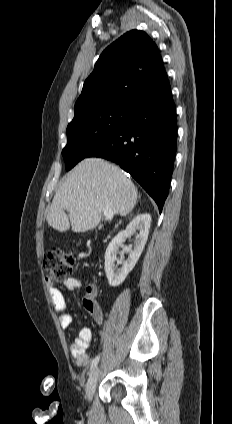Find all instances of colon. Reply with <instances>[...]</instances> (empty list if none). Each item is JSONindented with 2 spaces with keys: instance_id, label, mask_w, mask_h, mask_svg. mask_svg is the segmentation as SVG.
Masks as SVG:
<instances>
[{
  "instance_id": "obj_1",
  "label": "colon",
  "mask_w": 232,
  "mask_h": 424,
  "mask_svg": "<svg viewBox=\"0 0 232 424\" xmlns=\"http://www.w3.org/2000/svg\"><path fill=\"white\" fill-rule=\"evenodd\" d=\"M75 265L76 260L73 253L64 252L57 248L46 251L43 257L46 281L50 285L65 281L74 272Z\"/></svg>"
}]
</instances>
